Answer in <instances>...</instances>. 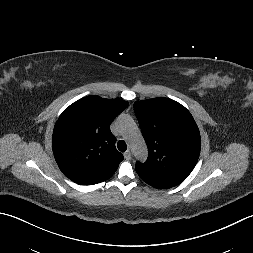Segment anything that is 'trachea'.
<instances>
[{
    "label": "trachea",
    "instance_id": "trachea-1",
    "mask_svg": "<svg viewBox=\"0 0 253 253\" xmlns=\"http://www.w3.org/2000/svg\"><path fill=\"white\" fill-rule=\"evenodd\" d=\"M117 148H118L119 151L125 152L126 149H127V145H126L125 141L120 140V141L117 143Z\"/></svg>",
    "mask_w": 253,
    "mask_h": 253
}]
</instances>
